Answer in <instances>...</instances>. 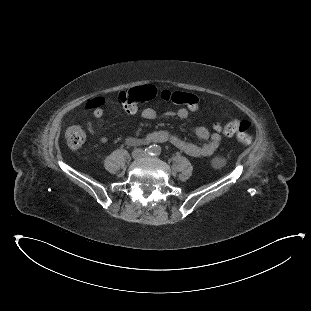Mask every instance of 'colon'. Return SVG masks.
<instances>
[{"mask_svg": "<svg viewBox=\"0 0 311 311\" xmlns=\"http://www.w3.org/2000/svg\"><path fill=\"white\" fill-rule=\"evenodd\" d=\"M156 93L157 90L154 86H144L141 88L140 92L133 90L121 93L119 95V100L125 111L135 112L137 110L138 100L153 98ZM160 97L166 102L185 105V107L192 112L197 113L200 110L196 97L190 95L189 93L164 89L161 91ZM113 102L114 99L111 96L106 97L105 95H102L101 97H91L90 99H86L77 111H80L82 114H86L89 109H93L95 106L99 107L105 103L111 105ZM232 122L216 126V129L223 134L232 136ZM242 125H244V129L242 128ZM249 128L250 123L246 119H243V122H241L239 136L237 137L240 146L243 148L249 147L253 142L252 136L248 133ZM87 134V129L84 126H73L68 128L65 133L68 147L73 151L79 149L87 138Z\"/></svg>", "mask_w": 311, "mask_h": 311, "instance_id": "5ec220e1", "label": "colon"}]
</instances>
